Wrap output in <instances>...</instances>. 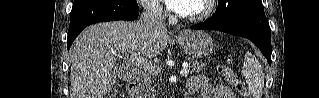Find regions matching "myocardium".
<instances>
[{"label":"myocardium","mask_w":319,"mask_h":98,"mask_svg":"<svg viewBox=\"0 0 319 98\" xmlns=\"http://www.w3.org/2000/svg\"><path fill=\"white\" fill-rule=\"evenodd\" d=\"M202 1V8L200 11L193 13V14H183L181 17L185 20L190 22H199L209 17L211 14L214 3V0H201Z\"/></svg>","instance_id":"obj_1"}]
</instances>
